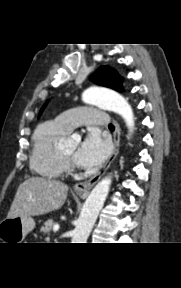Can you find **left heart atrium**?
Instances as JSON below:
<instances>
[{"label":"left heart atrium","mask_w":181,"mask_h":288,"mask_svg":"<svg viewBox=\"0 0 181 288\" xmlns=\"http://www.w3.org/2000/svg\"><path fill=\"white\" fill-rule=\"evenodd\" d=\"M110 153L109 142L103 139L98 131H90L75 154L76 163L92 169L101 165Z\"/></svg>","instance_id":"39dd6f15"}]
</instances>
